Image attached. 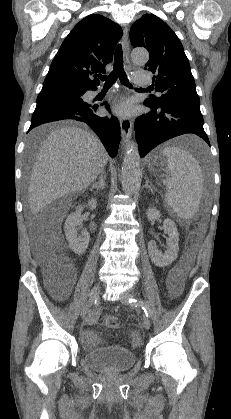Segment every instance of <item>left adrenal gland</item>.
Returning <instances> with one entry per match:
<instances>
[{
  "label": "left adrenal gland",
  "instance_id": "a2214340",
  "mask_svg": "<svg viewBox=\"0 0 231 419\" xmlns=\"http://www.w3.org/2000/svg\"><path fill=\"white\" fill-rule=\"evenodd\" d=\"M144 187L148 188L152 192V194L154 193L153 186H152V184L149 185V180L148 179L146 180V184H145Z\"/></svg>",
  "mask_w": 231,
  "mask_h": 419
}]
</instances>
